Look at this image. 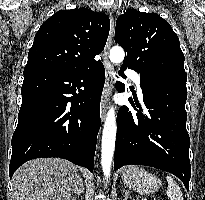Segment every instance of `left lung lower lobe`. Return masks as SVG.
Wrapping results in <instances>:
<instances>
[{
	"label": "left lung lower lobe",
	"instance_id": "1",
	"mask_svg": "<svg viewBox=\"0 0 205 200\" xmlns=\"http://www.w3.org/2000/svg\"><path fill=\"white\" fill-rule=\"evenodd\" d=\"M125 68L119 74L125 78ZM144 108L122 106L117 115L114 170L123 165H146L170 172L188 190L191 176L190 138L186 130L187 74L173 69L140 75ZM123 84L117 82L122 92Z\"/></svg>",
	"mask_w": 205,
	"mask_h": 200
}]
</instances>
